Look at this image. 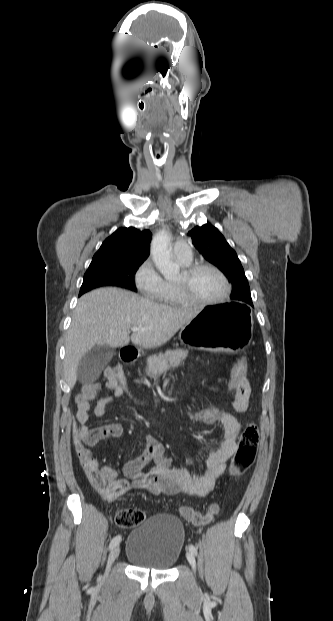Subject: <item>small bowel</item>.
Masks as SVG:
<instances>
[{
	"mask_svg": "<svg viewBox=\"0 0 333 621\" xmlns=\"http://www.w3.org/2000/svg\"><path fill=\"white\" fill-rule=\"evenodd\" d=\"M106 386L112 391V395L100 398L95 402L93 411L97 416L105 414L106 408L113 398H120L124 394L122 388L112 377H107ZM99 390L100 384L91 382L85 384L75 398L77 405L76 418L81 425L79 433L89 446L96 445L109 438L121 437L123 433L122 426L117 422L107 423L93 429L86 425L91 409L90 401L96 397ZM250 394V386L247 378H245L237 386L233 394L232 407L236 412L243 413L248 409ZM220 425L223 429L222 443L209 454L200 475L192 471V459H189L188 467L186 468L173 467L171 459L165 453L163 444L155 437L147 436L142 452L127 461L123 467L125 476L131 482L118 477L112 469L104 468L107 475L113 480L116 489L115 493L108 500L113 501L132 488L147 490L156 495L187 494L199 497L207 496L214 489L218 478L224 473L228 460L235 454L237 450V437L242 427L241 422L227 410H222ZM152 458L156 460V466L150 472L142 473V467Z\"/></svg>",
	"mask_w": 333,
	"mask_h": 621,
	"instance_id": "c3829d8e",
	"label": "small bowel"
}]
</instances>
